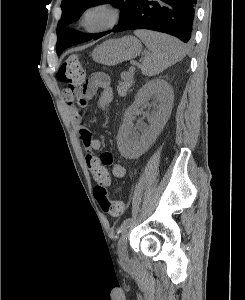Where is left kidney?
<instances>
[{
  "mask_svg": "<svg viewBox=\"0 0 245 300\" xmlns=\"http://www.w3.org/2000/svg\"><path fill=\"white\" fill-rule=\"evenodd\" d=\"M153 100V113L148 117L150 125L135 131L132 121L134 112ZM173 91L162 79L147 82L137 93L134 103L125 111L124 121L118 135V148L122 155L137 156L157 137L165 125L172 109Z\"/></svg>",
  "mask_w": 245,
  "mask_h": 300,
  "instance_id": "left-kidney-1",
  "label": "left kidney"
}]
</instances>
